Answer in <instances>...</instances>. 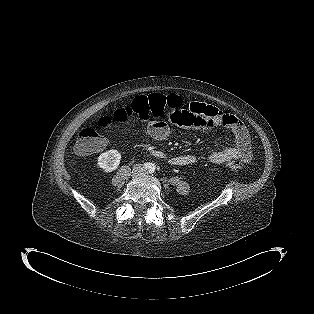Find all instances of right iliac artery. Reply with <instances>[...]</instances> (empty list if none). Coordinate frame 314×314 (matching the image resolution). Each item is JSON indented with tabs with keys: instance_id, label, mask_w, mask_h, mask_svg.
Masks as SVG:
<instances>
[{
	"instance_id": "right-iliac-artery-1",
	"label": "right iliac artery",
	"mask_w": 314,
	"mask_h": 314,
	"mask_svg": "<svg viewBox=\"0 0 314 314\" xmlns=\"http://www.w3.org/2000/svg\"><path fill=\"white\" fill-rule=\"evenodd\" d=\"M150 167H151V164H150V163H145V164H144V168H145V169H149Z\"/></svg>"
}]
</instances>
